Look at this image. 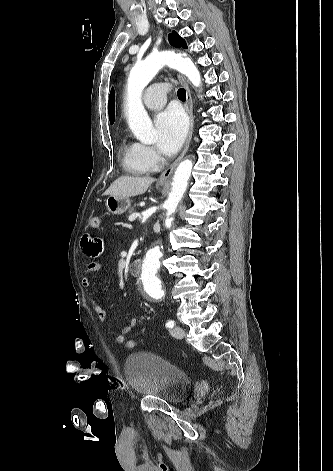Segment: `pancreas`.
Here are the masks:
<instances>
[{"label":"pancreas","mask_w":333,"mask_h":471,"mask_svg":"<svg viewBox=\"0 0 333 471\" xmlns=\"http://www.w3.org/2000/svg\"><path fill=\"white\" fill-rule=\"evenodd\" d=\"M135 206H136V204H134L133 207L129 208V210H128V213H129V214H131V213L134 211Z\"/></svg>","instance_id":"cf45deb5"}]
</instances>
